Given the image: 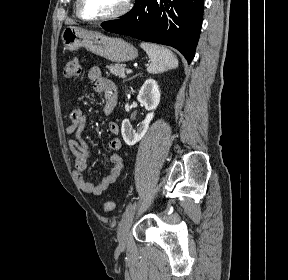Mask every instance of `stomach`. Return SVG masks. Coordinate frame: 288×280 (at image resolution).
<instances>
[{
    "label": "stomach",
    "mask_w": 288,
    "mask_h": 280,
    "mask_svg": "<svg viewBox=\"0 0 288 280\" xmlns=\"http://www.w3.org/2000/svg\"><path fill=\"white\" fill-rule=\"evenodd\" d=\"M61 38L65 48L70 51L84 47L93 54L115 63L131 61L138 56L137 49L122 38L108 37L80 27H66Z\"/></svg>",
    "instance_id": "1"
}]
</instances>
